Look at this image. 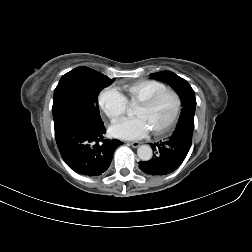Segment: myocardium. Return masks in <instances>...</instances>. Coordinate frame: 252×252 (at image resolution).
<instances>
[{"mask_svg": "<svg viewBox=\"0 0 252 252\" xmlns=\"http://www.w3.org/2000/svg\"><path fill=\"white\" fill-rule=\"evenodd\" d=\"M165 93H171V94L174 95V97L176 99V107H175L174 113H173L170 121L168 122V124L164 128H162L160 130H156V131H151L152 135H154V136H163V135H166L167 133H169L174 128V126H175V124L177 122V119L179 117L181 108H182L181 97H180L179 93L177 91H175L174 89L165 88L163 90H160V91H157V92L153 93L152 95H150L146 99H144L141 102H139V105H141L143 107H149L160 96H162Z\"/></svg>", "mask_w": 252, "mask_h": 252, "instance_id": "myocardium-1", "label": "myocardium"}]
</instances>
